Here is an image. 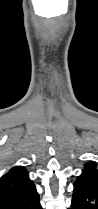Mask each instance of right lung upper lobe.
<instances>
[{
    "label": "right lung upper lobe",
    "instance_id": "obj_1",
    "mask_svg": "<svg viewBox=\"0 0 98 209\" xmlns=\"http://www.w3.org/2000/svg\"><path fill=\"white\" fill-rule=\"evenodd\" d=\"M34 187L25 167L15 166L0 179V209H6Z\"/></svg>",
    "mask_w": 98,
    "mask_h": 209
}]
</instances>
